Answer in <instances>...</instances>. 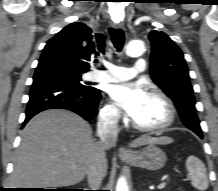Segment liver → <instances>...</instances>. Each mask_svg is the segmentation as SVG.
I'll return each instance as SVG.
<instances>
[{
    "label": "liver",
    "instance_id": "1",
    "mask_svg": "<svg viewBox=\"0 0 218 191\" xmlns=\"http://www.w3.org/2000/svg\"><path fill=\"white\" fill-rule=\"evenodd\" d=\"M90 125L80 116L61 109L33 117L22 131L15 152L11 183L16 188L66 187L78 184L88 173L99 149ZM167 136H141L130 146L170 144Z\"/></svg>",
    "mask_w": 218,
    "mask_h": 191
}]
</instances>
